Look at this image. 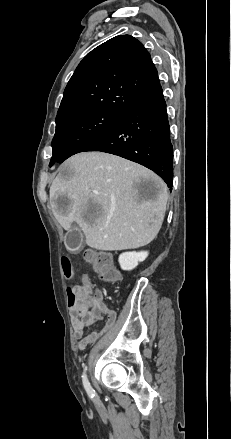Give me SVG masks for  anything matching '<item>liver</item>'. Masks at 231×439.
Wrapping results in <instances>:
<instances>
[{"label": "liver", "mask_w": 231, "mask_h": 439, "mask_svg": "<svg viewBox=\"0 0 231 439\" xmlns=\"http://www.w3.org/2000/svg\"><path fill=\"white\" fill-rule=\"evenodd\" d=\"M153 186L144 194L141 181ZM167 186L153 171L103 152L73 155L50 187V206L59 224L76 222L86 244L97 250L135 249L158 234L166 211Z\"/></svg>", "instance_id": "6515ba94"}]
</instances>
